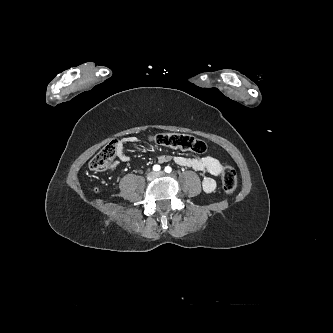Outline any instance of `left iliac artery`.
Segmentation results:
<instances>
[{
  "label": "left iliac artery",
  "mask_w": 333,
  "mask_h": 333,
  "mask_svg": "<svg viewBox=\"0 0 333 333\" xmlns=\"http://www.w3.org/2000/svg\"><path fill=\"white\" fill-rule=\"evenodd\" d=\"M172 171V168L170 166L165 167V172L170 173Z\"/></svg>",
  "instance_id": "left-iliac-artery-1"
}]
</instances>
